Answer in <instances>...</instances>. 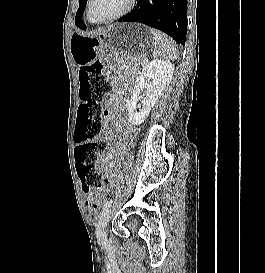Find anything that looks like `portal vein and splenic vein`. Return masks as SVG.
Here are the masks:
<instances>
[{"label":"portal vein and splenic vein","mask_w":265,"mask_h":273,"mask_svg":"<svg viewBox=\"0 0 265 273\" xmlns=\"http://www.w3.org/2000/svg\"><path fill=\"white\" fill-rule=\"evenodd\" d=\"M144 61L148 62V58L145 57Z\"/></svg>","instance_id":"18ae733b"}]
</instances>
